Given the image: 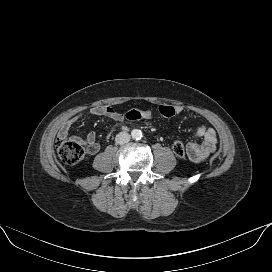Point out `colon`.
<instances>
[{
    "label": "colon",
    "mask_w": 272,
    "mask_h": 272,
    "mask_svg": "<svg viewBox=\"0 0 272 272\" xmlns=\"http://www.w3.org/2000/svg\"><path fill=\"white\" fill-rule=\"evenodd\" d=\"M158 114L163 118H172L176 115V109L170 105H160ZM157 113L151 109H132L125 114L129 121H152L156 118ZM173 152L180 159H186V151L182 142L173 143ZM56 149L60 160L68 165H74L82 161L86 154L85 147L77 141L59 139L56 142Z\"/></svg>",
    "instance_id": "obj_1"
}]
</instances>
